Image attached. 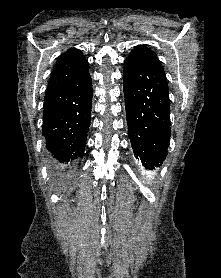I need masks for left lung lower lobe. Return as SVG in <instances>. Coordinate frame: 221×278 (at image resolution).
I'll return each mask as SVG.
<instances>
[{
  "instance_id": "obj_1",
  "label": "left lung lower lobe",
  "mask_w": 221,
  "mask_h": 278,
  "mask_svg": "<svg viewBox=\"0 0 221 278\" xmlns=\"http://www.w3.org/2000/svg\"><path fill=\"white\" fill-rule=\"evenodd\" d=\"M123 87L134 155L152 170L166 158L170 141L169 90L160 63L125 62Z\"/></svg>"
}]
</instances>
